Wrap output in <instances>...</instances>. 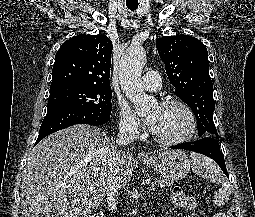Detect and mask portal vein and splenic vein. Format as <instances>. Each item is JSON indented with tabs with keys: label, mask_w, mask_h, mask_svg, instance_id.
Wrapping results in <instances>:
<instances>
[{
	"label": "portal vein and splenic vein",
	"mask_w": 255,
	"mask_h": 217,
	"mask_svg": "<svg viewBox=\"0 0 255 217\" xmlns=\"http://www.w3.org/2000/svg\"><path fill=\"white\" fill-rule=\"evenodd\" d=\"M150 190L154 191L155 190V186H151Z\"/></svg>",
	"instance_id": "1"
}]
</instances>
